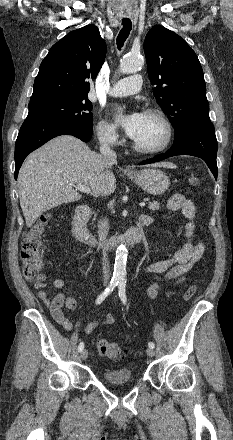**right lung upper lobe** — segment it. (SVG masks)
<instances>
[{
  "mask_svg": "<svg viewBox=\"0 0 233 440\" xmlns=\"http://www.w3.org/2000/svg\"><path fill=\"white\" fill-rule=\"evenodd\" d=\"M106 43L98 28L87 25L53 45L42 61L30 103L53 98L88 97L90 84L106 55Z\"/></svg>",
  "mask_w": 233,
  "mask_h": 440,
  "instance_id": "obj_1",
  "label": "right lung upper lobe"
}]
</instances>
